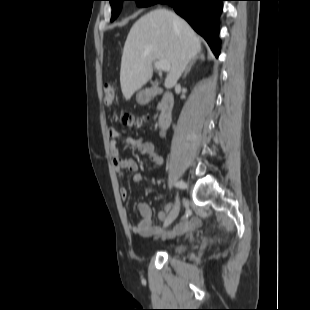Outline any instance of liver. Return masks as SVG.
Returning <instances> with one entry per match:
<instances>
[{"mask_svg":"<svg viewBox=\"0 0 310 310\" xmlns=\"http://www.w3.org/2000/svg\"><path fill=\"white\" fill-rule=\"evenodd\" d=\"M201 50L198 36L185 20L166 9L150 11L135 22L124 45L120 69L123 96L130 100L151 79L154 61L170 64L164 86L173 88Z\"/></svg>","mask_w":310,"mask_h":310,"instance_id":"1","label":"liver"}]
</instances>
